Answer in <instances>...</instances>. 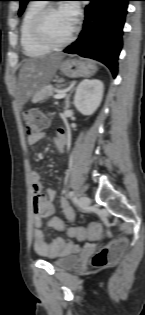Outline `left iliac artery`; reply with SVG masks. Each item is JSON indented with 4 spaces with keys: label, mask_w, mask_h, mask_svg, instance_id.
Returning <instances> with one entry per match:
<instances>
[{
    "label": "left iliac artery",
    "mask_w": 145,
    "mask_h": 315,
    "mask_svg": "<svg viewBox=\"0 0 145 315\" xmlns=\"http://www.w3.org/2000/svg\"><path fill=\"white\" fill-rule=\"evenodd\" d=\"M68 196H69V197H74V196H75L74 191H69Z\"/></svg>",
    "instance_id": "1"
}]
</instances>
